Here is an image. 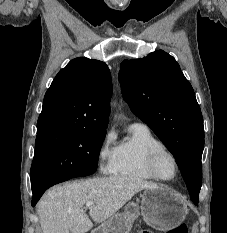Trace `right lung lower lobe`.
Segmentation results:
<instances>
[{"label": "right lung lower lobe", "instance_id": "obj_1", "mask_svg": "<svg viewBox=\"0 0 227 233\" xmlns=\"http://www.w3.org/2000/svg\"><path fill=\"white\" fill-rule=\"evenodd\" d=\"M71 179V178H70ZM66 180L69 179H54L51 181H47L42 183L41 185L32 188V192H33V198H32V206H35L36 203L38 202V200L40 199V197L42 196V194L51 186L64 182Z\"/></svg>", "mask_w": 227, "mask_h": 233}]
</instances>
